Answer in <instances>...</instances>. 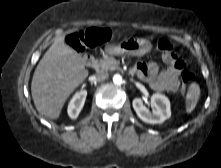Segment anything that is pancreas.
Listing matches in <instances>:
<instances>
[{
  "label": "pancreas",
  "instance_id": "cf45deb5",
  "mask_svg": "<svg viewBox=\"0 0 221 168\" xmlns=\"http://www.w3.org/2000/svg\"><path fill=\"white\" fill-rule=\"evenodd\" d=\"M95 69L96 71H113L119 69V64L113 56H104L97 61Z\"/></svg>",
  "mask_w": 221,
  "mask_h": 168
}]
</instances>
